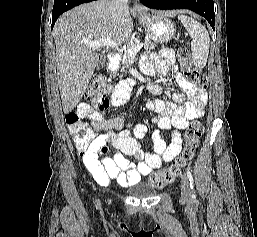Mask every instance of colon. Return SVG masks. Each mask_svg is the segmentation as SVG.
<instances>
[{
    "instance_id": "1",
    "label": "colon",
    "mask_w": 257,
    "mask_h": 237,
    "mask_svg": "<svg viewBox=\"0 0 257 237\" xmlns=\"http://www.w3.org/2000/svg\"><path fill=\"white\" fill-rule=\"evenodd\" d=\"M187 81L199 89H205L208 84L207 76L198 68L193 67L189 49L181 45L177 51ZM111 92V86L104 76L94 78L88 88L87 97L92 104L105 101ZM76 112H68L65 116L66 125L80 146H86L93 136L88 132V127ZM203 124L197 120L191 122L185 132V145L181 154L174 163L163 170L149 174L148 183L157 189L172 183L181 173L182 168L194 157L203 133Z\"/></svg>"
}]
</instances>
